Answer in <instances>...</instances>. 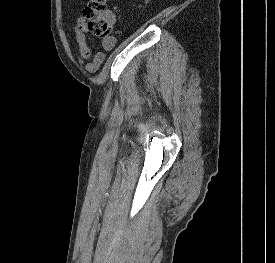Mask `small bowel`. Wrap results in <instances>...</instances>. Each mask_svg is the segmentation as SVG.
Wrapping results in <instances>:
<instances>
[{
    "mask_svg": "<svg viewBox=\"0 0 275 263\" xmlns=\"http://www.w3.org/2000/svg\"><path fill=\"white\" fill-rule=\"evenodd\" d=\"M107 16L111 23L115 22V17L113 14L108 13ZM74 34L79 48V53L77 55L79 64L82 65L85 60H88L87 64L85 65L87 72H96L105 61L106 54L104 51H99L95 54H92L91 49L89 48L86 41V23L83 17L78 18L74 26ZM116 42L117 39L115 37L104 39L102 41V47L105 51H110L115 47Z\"/></svg>",
    "mask_w": 275,
    "mask_h": 263,
    "instance_id": "c3829d8e",
    "label": "small bowel"
}]
</instances>
